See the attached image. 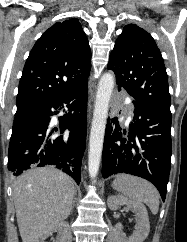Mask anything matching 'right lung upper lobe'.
Here are the masks:
<instances>
[{
  "mask_svg": "<svg viewBox=\"0 0 187 242\" xmlns=\"http://www.w3.org/2000/svg\"><path fill=\"white\" fill-rule=\"evenodd\" d=\"M90 69V46L78 20L54 24L37 40L26 60L17 108L87 83Z\"/></svg>",
  "mask_w": 187,
  "mask_h": 242,
  "instance_id": "1",
  "label": "right lung upper lobe"
}]
</instances>
